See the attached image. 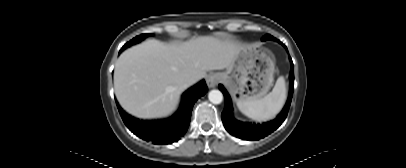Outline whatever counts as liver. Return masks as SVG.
Returning <instances> with one entry per match:
<instances>
[{
	"mask_svg": "<svg viewBox=\"0 0 406 168\" xmlns=\"http://www.w3.org/2000/svg\"><path fill=\"white\" fill-rule=\"evenodd\" d=\"M243 46L230 40L199 36L181 44L150 39L124 51L115 64L114 90L120 105L144 119L165 117L189 86L207 71L231 67Z\"/></svg>",
	"mask_w": 406,
	"mask_h": 168,
	"instance_id": "6515ba94",
	"label": "liver"
}]
</instances>
